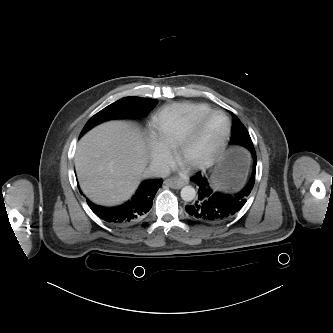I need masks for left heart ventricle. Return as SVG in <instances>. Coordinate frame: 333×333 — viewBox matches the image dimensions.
Instances as JSON below:
<instances>
[{
    "label": "left heart ventricle",
    "mask_w": 333,
    "mask_h": 333,
    "mask_svg": "<svg viewBox=\"0 0 333 333\" xmlns=\"http://www.w3.org/2000/svg\"><path fill=\"white\" fill-rule=\"evenodd\" d=\"M226 121L222 116H214L202 127L199 135L190 147L187 160H198L206 157L222 135Z\"/></svg>",
    "instance_id": "1"
}]
</instances>
